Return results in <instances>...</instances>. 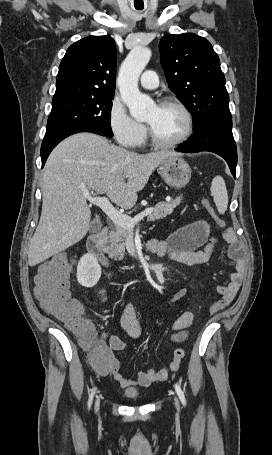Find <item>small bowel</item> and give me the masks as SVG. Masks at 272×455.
<instances>
[{
  "instance_id": "small-bowel-1",
  "label": "small bowel",
  "mask_w": 272,
  "mask_h": 455,
  "mask_svg": "<svg viewBox=\"0 0 272 455\" xmlns=\"http://www.w3.org/2000/svg\"><path fill=\"white\" fill-rule=\"evenodd\" d=\"M223 238L228 243V256L233 260L235 269L230 275L228 284L217 286V292L221 295V298L211 305V313H216L231 303L240 289L246 270L242 250L234 232L227 230L223 234ZM216 242V237L211 235L210 225L206 221L199 220L173 232L166 240H150L148 242V249L158 257H168L175 262L185 265H198L209 261ZM108 276H112V273H108ZM186 294L187 289L181 288L170 297L169 302L175 303L183 299ZM99 296L101 301L106 299L103 290L99 292ZM193 319V313L186 311L175 320L173 324L175 332L172 336L174 342H183L187 338V329L192 324ZM120 324L131 338L136 339L140 336L141 327L136 319L132 305L127 304L122 310ZM124 349L125 343L123 340L116 335H110L108 338L107 362L103 366H97L98 372L102 375L112 374L121 387L136 385L147 387L154 382H161L167 378L168 373L166 369L141 371L137 374L136 380H131L123 376L120 372L119 362L112 355V351H121ZM184 356L185 352L183 349L179 348L175 350L174 358L170 365L172 372H176L179 369Z\"/></svg>"
}]
</instances>
